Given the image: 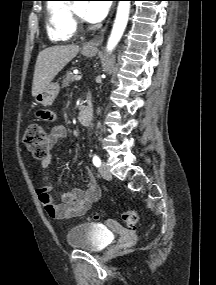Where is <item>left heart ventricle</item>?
Masks as SVG:
<instances>
[{
  "label": "left heart ventricle",
  "instance_id": "b2bd125f",
  "mask_svg": "<svg viewBox=\"0 0 216 285\" xmlns=\"http://www.w3.org/2000/svg\"><path fill=\"white\" fill-rule=\"evenodd\" d=\"M76 11L81 15L83 16L84 14V8H85V4L84 3H76L74 5Z\"/></svg>",
  "mask_w": 216,
  "mask_h": 285
}]
</instances>
